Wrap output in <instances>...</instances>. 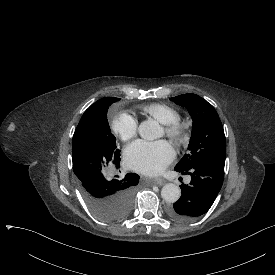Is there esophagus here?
<instances>
[{
	"label": "esophagus",
	"mask_w": 275,
	"mask_h": 275,
	"mask_svg": "<svg viewBox=\"0 0 275 275\" xmlns=\"http://www.w3.org/2000/svg\"><path fill=\"white\" fill-rule=\"evenodd\" d=\"M164 182H165V181H164V179H162V178H155L154 181H153V183H154L155 185H158V186L163 185Z\"/></svg>",
	"instance_id": "obj_1"
}]
</instances>
